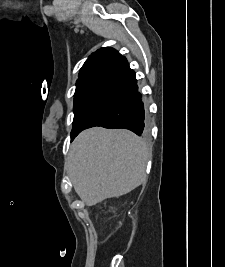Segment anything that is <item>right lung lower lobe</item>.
Here are the masks:
<instances>
[{
	"instance_id": "right-lung-lower-lobe-1",
	"label": "right lung lower lobe",
	"mask_w": 225,
	"mask_h": 267,
	"mask_svg": "<svg viewBox=\"0 0 225 267\" xmlns=\"http://www.w3.org/2000/svg\"><path fill=\"white\" fill-rule=\"evenodd\" d=\"M95 126L124 128L139 136L147 133L135 72L124 56H119L88 90L73 123L71 138Z\"/></svg>"
}]
</instances>
